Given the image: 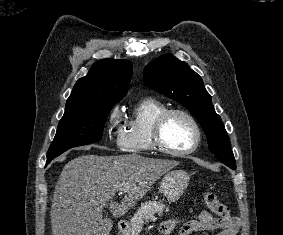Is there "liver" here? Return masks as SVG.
Instances as JSON below:
<instances>
[{
	"label": "liver",
	"mask_w": 283,
	"mask_h": 235,
	"mask_svg": "<svg viewBox=\"0 0 283 235\" xmlns=\"http://www.w3.org/2000/svg\"><path fill=\"white\" fill-rule=\"evenodd\" d=\"M178 161L126 154L82 155L69 161L57 181L50 211L52 235H108L112 222L103 219V207L110 202L118 218L135 206ZM127 186L121 204L112 197Z\"/></svg>",
	"instance_id": "6515ba94"
}]
</instances>
